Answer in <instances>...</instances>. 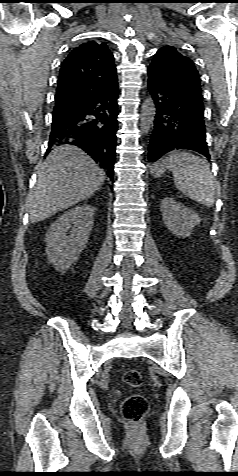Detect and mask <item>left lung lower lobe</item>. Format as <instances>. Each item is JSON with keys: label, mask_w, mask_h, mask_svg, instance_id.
I'll use <instances>...</instances> for the list:
<instances>
[{"label": "left lung lower lobe", "mask_w": 238, "mask_h": 476, "mask_svg": "<svg viewBox=\"0 0 238 476\" xmlns=\"http://www.w3.org/2000/svg\"><path fill=\"white\" fill-rule=\"evenodd\" d=\"M148 89L155 104V120L148 148V162L173 150H193L210 158L202 100L194 99L148 70Z\"/></svg>", "instance_id": "1"}]
</instances>
